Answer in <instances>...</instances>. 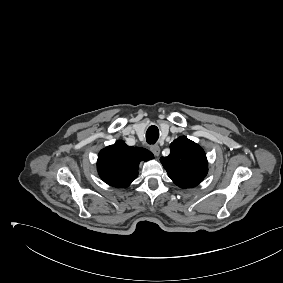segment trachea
<instances>
[{
    "label": "trachea",
    "mask_w": 283,
    "mask_h": 283,
    "mask_svg": "<svg viewBox=\"0 0 283 283\" xmlns=\"http://www.w3.org/2000/svg\"><path fill=\"white\" fill-rule=\"evenodd\" d=\"M159 137V131L156 126H151L146 132V140L148 144H155Z\"/></svg>",
    "instance_id": "obj_1"
}]
</instances>
